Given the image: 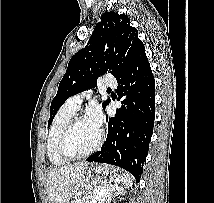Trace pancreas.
I'll return each mask as SVG.
<instances>
[{"label":"pancreas","mask_w":214,"mask_h":203,"mask_svg":"<svg viewBox=\"0 0 214 203\" xmlns=\"http://www.w3.org/2000/svg\"><path fill=\"white\" fill-rule=\"evenodd\" d=\"M97 195V192L89 193L88 196L83 197L82 199H76L72 203H91L92 199ZM111 200V192L109 190L105 191V194L98 203H110Z\"/></svg>","instance_id":"1"}]
</instances>
